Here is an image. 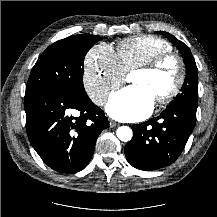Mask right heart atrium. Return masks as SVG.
Segmentation results:
<instances>
[{"instance_id":"obj_1","label":"right heart atrium","mask_w":217,"mask_h":217,"mask_svg":"<svg viewBox=\"0 0 217 217\" xmlns=\"http://www.w3.org/2000/svg\"><path fill=\"white\" fill-rule=\"evenodd\" d=\"M83 84L90 99L103 106L110 94L125 79V71L116 53L105 44L93 46L85 57Z\"/></svg>"}]
</instances>
